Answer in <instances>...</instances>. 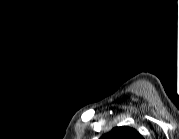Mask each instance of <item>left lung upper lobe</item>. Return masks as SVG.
Returning <instances> with one entry per match:
<instances>
[{"instance_id":"5c2ea615","label":"left lung upper lobe","mask_w":179,"mask_h":139,"mask_svg":"<svg viewBox=\"0 0 179 139\" xmlns=\"http://www.w3.org/2000/svg\"><path fill=\"white\" fill-rule=\"evenodd\" d=\"M104 137L105 139H142V136L135 129L126 126L115 127Z\"/></svg>"}]
</instances>
